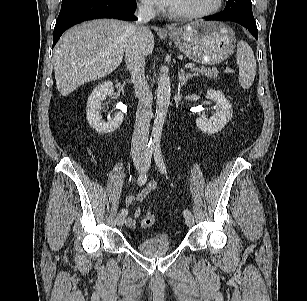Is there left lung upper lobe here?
I'll use <instances>...</instances> for the list:
<instances>
[{"instance_id":"obj_1","label":"left lung upper lobe","mask_w":307,"mask_h":301,"mask_svg":"<svg viewBox=\"0 0 307 301\" xmlns=\"http://www.w3.org/2000/svg\"><path fill=\"white\" fill-rule=\"evenodd\" d=\"M221 13L253 16L251 0H228Z\"/></svg>"}]
</instances>
